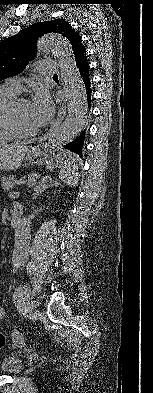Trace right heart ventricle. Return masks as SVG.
<instances>
[{"label": "right heart ventricle", "instance_id": "1", "mask_svg": "<svg viewBox=\"0 0 153 393\" xmlns=\"http://www.w3.org/2000/svg\"><path fill=\"white\" fill-rule=\"evenodd\" d=\"M15 92L6 89L4 86L0 88V143H5L11 138V131L7 126V111L11 102L15 98Z\"/></svg>", "mask_w": 153, "mask_h": 393}]
</instances>
